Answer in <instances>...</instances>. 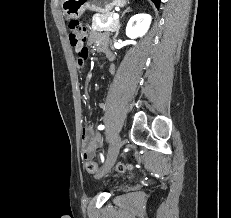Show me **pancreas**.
Wrapping results in <instances>:
<instances>
[{
    "label": "pancreas",
    "instance_id": "cf45deb5",
    "mask_svg": "<svg viewBox=\"0 0 231 218\" xmlns=\"http://www.w3.org/2000/svg\"><path fill=\"white\" fill-rule=\"evenodd\" d=\"M114 15H115L114 12H108V13H105V14H99L98 17H99V21H100L101 24L98 23L95 18H93V20H92V29L96 30V31H111V32L116 31L118 26H119V20L118 19L117 20L113 19V21L107 26L104 25L108 21V19L113 18Z\"/></svg>",
    "mask_w": 231,
    "mask_h": 218
}]
</instances>
